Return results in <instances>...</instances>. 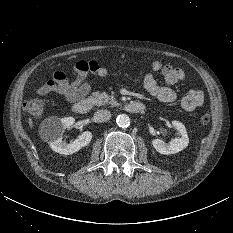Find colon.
Returning a JSON list of instances; mask_svg holds the SVG:
<instances>
[{
	"instance_id": "obj_1",
	"label": "colon",
	"mask_w": 233,
	"mask_h": 233,
	"mask_svg": "<svg viewBox=\"0 0 233 233\" xmlns=\"http://www.w3.org/2000/svg\"><path fill=\"white\" fill-rule=\"evenodd\" d=\"M24 110L33 116L41 115L44 111V101L41 99L33 98L25 101ZM210 122V115L203 114L200 117V123L202 125H207Z\"/></svg>"
}]
</instances>
